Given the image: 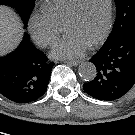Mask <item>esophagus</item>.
Instances as JSON below:
<instances>
[{"label": "esophagus", "instance_id": "1", "mask_svg": "<svg viewBox=\"0 0 135 135\" xmlns=\"http://www.w3.org/2000/svg\"><path fill=\"white\" fill-rule=\"evenodd\" d=\"M65 63L71 66H78L80 64V61H66Z\"/></svg>", "mask_w": 135, "mask_h": 135}]
</instances>
